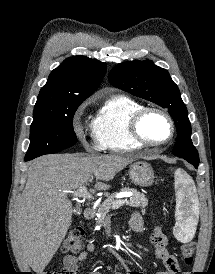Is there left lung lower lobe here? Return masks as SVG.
<instances>
[{
  "mask_svg": "<svg viewBox=\"0 0 215 274\" xmlns=\"http://www.w3.org/2000/svg\"><path fill=\"white\" fill-rule=\"evenodd\" d=\"M189 163H191L195 168H198V165H199V161H190V160H187Z\"/></svg>",
  "mask_w": 215,
  "mask_h": 274,
  "instance_id": "left-lung-lower-lobe-1",
  "label": "left lung lower lobe"
}]
</instances>
